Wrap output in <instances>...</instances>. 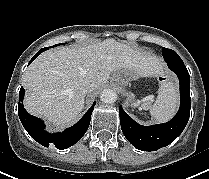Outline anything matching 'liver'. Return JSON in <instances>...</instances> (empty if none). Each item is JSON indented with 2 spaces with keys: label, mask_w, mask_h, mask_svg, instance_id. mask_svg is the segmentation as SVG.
I'll return each instance as SVG.
<instances>
[{
  "label": "liver",
  "mask_w": 209,
  "mask_h": 179,
  "mask_svg": "<svg viewBox=\"0 0 209 179\" xmlns=\"http://www.w3.org/2000/svg\"><path fill=\"white\" fill-rule=\"evenodd\" d=\"M124 70L133 71L138 77L157 76L163 71V63L155 55L114 39L48 50L23 74L24 106L30 114L61 129L68 127L84 107L83 88L92 83L97 90L107 83L111 73L117 78Z\"/></svg>",
  "instance_id": "liver-1"
}]
</instances>
